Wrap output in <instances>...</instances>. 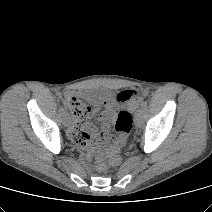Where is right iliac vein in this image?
<instances>
[{"instance_id": "63e3f726", "label": "right iliac vein", "mask_w": 212, "mask_h": 212, "mask_svg": "<svg viewBox=\"0 0 212 212\" xmlns=\"http://www.w3.org/2000/svg\"><path fill=\"white\" fill-rule=\"evenodd\" d=\"M70 123H71L70 117L67 114H65L63 116V124L67 127L70 125Z\"/></svg>"}]
</instances>
